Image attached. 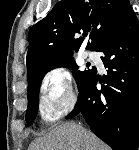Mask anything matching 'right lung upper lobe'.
I'll list each match as a JSON object with an SVG mask.
<instances>
[{
    "instance_id": "1",
    "label": "right lung upper lobe",
    "mask_w": 139,
    "mask_h": 150,
    "mask_svg": "<svg viewBox=\"0 0 139 150\" xmlns=\"http://www.w3.org/2000/svg\"><path fill=\"white\" fill-rule=\"evenodd\" d=\"M132 10L129 0H61L29 31L27 77L46 64L72 56L90 32L86 49L96 51Z\"/></svg>"
}]
</instances>
